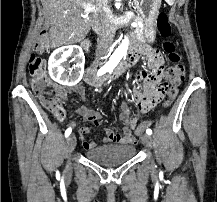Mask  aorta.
<instances>
[{
	"mask_svg": "<svg viewBox=\"0 0 217 202\" xmlns=\"http://www.w3.org/2000/svg\"><path fill=\"white\" fill-rule=\"evenodd\" d=\"M129 46V40L127 36H125L124 40H122L120 46H118L117 50H115L114 54H112V60L114 62H120L122 60L123 56H125Z\"/></svg>",
	"mask_w": 217,
	"mask_h": 202,
	"instance_id": "obj_1",
	"label": "aorta"
}]
</instances>
